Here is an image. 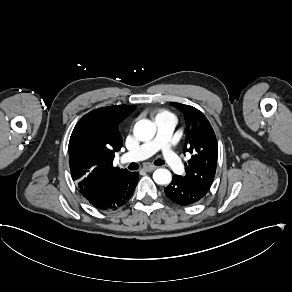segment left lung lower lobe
Segmentation results:
<instances>
[{
  "label": "left lung lower lobe",
  "mask_w": 292,
  "mask_h": 292,
  "mask_svg": "<svg viewBox=\"0 0 292 292\" xmlns=\"http://www.w3.org/2000/svg\"><path fill=\"white\" fill-rule=\"evenodd\" d=\"M207 191L197 189L184 183L175 175L172 182L165 188L166 196L174 203L181 206L192 205L200 201Z\"/></svg>",
  "instance_id": "left-lung-lower-lobe-1"
}]
</instances>
